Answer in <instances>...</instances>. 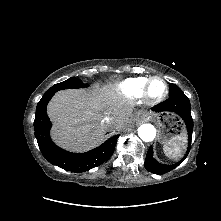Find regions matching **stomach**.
<instances>
[{
	"label": "stomach",
	"instance_id": "stomach-1",
	"mask_svg": "<svg viewBox=\"0 0 221 221\" xmlns=\"http://www.w3.org/2000/svg\"><path fill=\"white\" fill-rule=\"evenodd\" d=\"M145 117H152L150 112L143 113ZM156 120L159 126L158 139L161 143L167 144L171 138L184 133V126L180 120L177 119L175 115L165 114L156 116Z\"/></svg>",
	"mask_w": 221,
	"mask_h": 221
}]
</instances>
